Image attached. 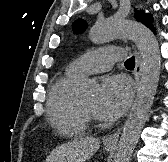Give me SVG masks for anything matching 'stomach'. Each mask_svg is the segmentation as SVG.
<instances>
[{
    "instance_id": "0dacf381",
    "label": "stomach",
    "mask_w": 168,
    "mask_h": 162,
    "mask_svg": "<svg viewBox=\"0 0 168 162\" xmlns=\"http://www.w3.org/2000/svg\"><path fill=\"white\" fill-rule=\"evenodd\" d=\"M111 149H113V146H105V150L110 151Z\"/></svg>"
}]
</instances>
